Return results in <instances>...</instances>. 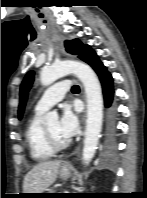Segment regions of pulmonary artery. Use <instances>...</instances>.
<instances>
[{"instance_id": "obj_1", "label": "pulmonary artery", "mask_w": 147, "mask_h": 198, "mask_svg": "<svg viewBox=\"0 0 147 198\" xmlns=\"http://www.w3.org/2000/svg\"><path fill=\"white\" fill-rule=\"evenodd\" d=\"M70 88V82L64 80L49 87L39 98L35 105V110L44 112L62 101L66 92Z\"/></svg>"}]
</instances>
